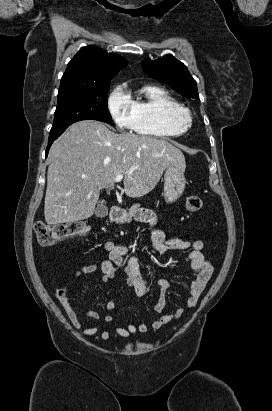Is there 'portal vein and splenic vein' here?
<instances>
[{"label": "portal vein and splenic vein", "mask_w": 272, "mask_h": 411, "mask_svg": "<svg viewBox=\"0 0 272 411\" xmlns=\"http://www.w3.org/2000/svg\"><path fill=\"white\" fill-rule=\"evenodd\" d=\"M124 175L123 174H119L114 178V182H120L123 179Z\"/></svg>", "instance_id": "1"}]
</instances>
